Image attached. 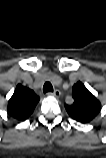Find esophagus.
<instances>
[{"mask_svg": "<svg viewBox=\"0 0 106 158\" xmlns=\"http://www.w3.org/2000/svg\"><path fill=\"white\" fill-rule=\"evenodd\" d=\"M48 95H52L56 98H59L61 96V92L59 89H55L53 92H49Z\"/></svg>", "mask_w": 106, "mask_h": 158, "instance_id": "obj_1", "label": "esophagus"}]
</instances>
